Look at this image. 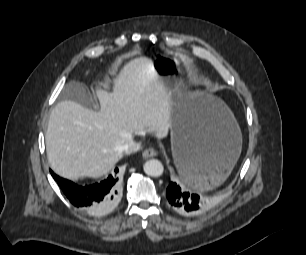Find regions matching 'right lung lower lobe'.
Segmentation results:
<instances>
[{"label":"right lung lower lobe","instance_id":"right-lung-lower-lobe-1","mask_svg":"<svg viewBox=\"0 0 306 255\" xmlns=\"http://www.w3.org/2000/svg\"><path fill=\"white\" fill-rule=\"evenodd\" d=\"M118 172V169L115 170ZM53 178L69 201L80 210L93 215L102 216L110 212L118 203L120 192L118 177L109 176L106 180L88 186H79L60 178L52 171Z\"/></svg>","mask_w":306,"mask_h":255}]
</instances>
